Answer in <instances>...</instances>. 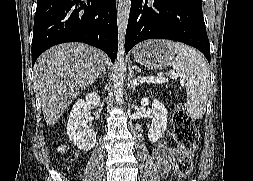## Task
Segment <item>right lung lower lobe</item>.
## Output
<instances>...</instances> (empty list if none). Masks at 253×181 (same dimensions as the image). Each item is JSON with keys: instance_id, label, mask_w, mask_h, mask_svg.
<instances>
[{"instance_id": "right-lung-lower-lobe-1", "label": "right lung lower lobe", "mask_w": 253, "mask_h": 181, "mask_svg": "<svg viewBox=\"0 0 253 181\" xmlns=\"http://www.w3.org/2000/svg\"><path fill=\"white\" fill-rule=\"evenodd\" d=\"M64 42L95 46L114 62L118 50L115 0H37L32 66L45 50Z\"/></svg>"}]
</instances>
